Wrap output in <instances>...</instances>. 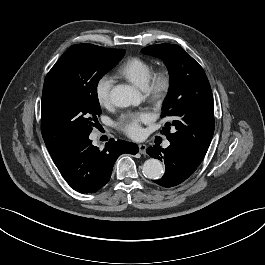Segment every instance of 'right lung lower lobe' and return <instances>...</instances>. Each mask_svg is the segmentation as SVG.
<instances>
[{
  "mask_svg": "<svg viewBox=\"0 0 265 265\" xmlns=\"http://www.w3.org/2000/svg\"><path fill=\"white\" fill-rule=\"evenodd\" d=\"M138 146L110 139L103 150L85 136L51 155L66 182L77 192L95 193L110 179L116 159L123 153L136 154Z\"/></svg>",
  "mask_w": 265,
  "mask_h": 265,
  "instance_id": "obj_1",
  "label": "right lung lower lobe"
}]
</instances>
